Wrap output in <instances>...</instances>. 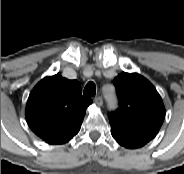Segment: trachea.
<instances>
[{"instance_id": "1", "label": "trachea", "mask_w": 184, "mask_h": 174, "mask_svg": "<svg viewBox=\"0 0 184 174\" xmlns=\"http://www.w3.org/2000/svg\"><path fill=\"white\" fill-rule=\"evenodd\" d=\"M83 94L86 96L93 97L96 94V86L94 82H88L87 85L84 88Z\"/></svg>"}]
</instances>
